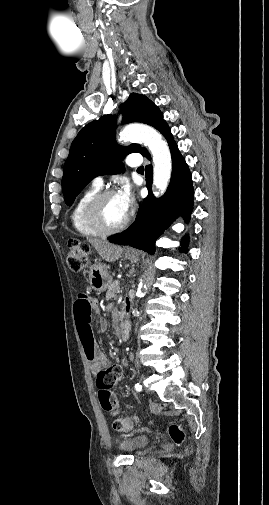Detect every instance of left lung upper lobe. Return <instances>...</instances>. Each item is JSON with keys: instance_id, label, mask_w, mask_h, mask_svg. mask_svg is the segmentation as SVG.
I'll use <instances>...</instances> for the list:
<instances>
[{"instance_id": "5c2ea615", "label": "left lung upper lobe", "mask_w": 269, "mask_h": 505, "mask_svg": "<svg viewBox=\"0 0 269 505\" xmlns=\"http://www.w3.org/2000/svg\"><path fill=\"white\" fill-rule=\"evenodd\" d=\"M122 123L141 122L154 126L162 118L158 107L146 96L132 93L122 107ZM115 117L104 115L87 124L72 142L64 165L62 190L65 203L72 205L76 196L96 176L119 173L121 160L133 152L147 153L138 144L119 146L115 140Z\"/></svg>"}]
</instances>
